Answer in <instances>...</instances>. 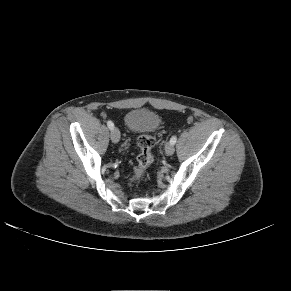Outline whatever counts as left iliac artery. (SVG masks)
Listing matches in <instances>:
<instances>
[{"mask_svg": "<svg viewBox=\"0 0 291 291\" xmlns=\"http://www.w3.org/2000/svg\"><path fill=\"white\" fill-rule=\"evenodd\" d=\"M176 141H177V137L175 135L172 136L170 139V143L174 145L176 143Z\"/></svg>", "mask_w": 291, "mask_h": 291, "instance_id": "left-iliac-artery-1", "label": "left iliac artery"}]
</instances>
